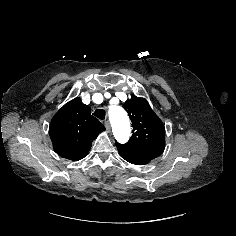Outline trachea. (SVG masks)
<instances>
[{
	"mask_svg": "<svg viewBox=\"0 0 236 236\" xmlns=\"http://www.w3.org/2000/svg\"><path fill=\"white\" fill-rule=\"evenodd\" d=\"M93 115L101 120L105 118L106 112L103 109H97Z\"/></svg>",
	"mask_w": 236,
	"mask_h": 236,
	"instance_id": "trachea-1",
	"label": "trachea"
}]
</instances>
